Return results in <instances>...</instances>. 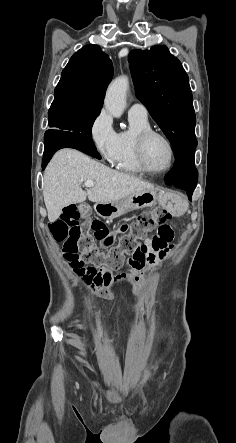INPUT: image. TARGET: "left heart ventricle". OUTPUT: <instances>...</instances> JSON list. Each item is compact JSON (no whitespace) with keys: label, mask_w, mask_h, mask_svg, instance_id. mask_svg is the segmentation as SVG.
Masks as SVG:
<instances>
[{"label":"left heart ventricle","mask_w":236,"mask_h":443,"mask_svg":"<svg viewBox=\"0 0 236 443\" xmlns=\"http://www.w3.org/2000/svg\"><path fill=\"white\" fill-rule=\"evenodd\" d=\"M145 157L151 169L156 171L164 169L170 161L167 143L158 136L150 138L146 145Z\"/></svg>","instance_id":"left-heart-ventricle-1"}]
</instances>
